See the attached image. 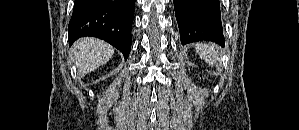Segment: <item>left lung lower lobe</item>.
Returning a JSON list of instances; mask_svg holds the SVG:
<instances>
[{
    "label": "left lung lower lobe",
    "mask_w": 299,
    "mask_h": 130,
    "mask_svg": "<svg viewBox=\"0 0 299 130\" xmlns=\"http://www.w3.org/2000/svg\"><path fill=\"white\" fill-rule=\"evenodd\" d=\"M181 43L207 40L224 46L219 0H173Z\"/></svg>",
    "instance_id": "obj_1"
}]
</instances>
